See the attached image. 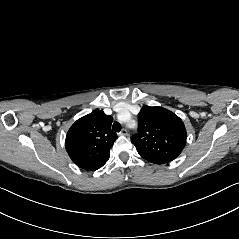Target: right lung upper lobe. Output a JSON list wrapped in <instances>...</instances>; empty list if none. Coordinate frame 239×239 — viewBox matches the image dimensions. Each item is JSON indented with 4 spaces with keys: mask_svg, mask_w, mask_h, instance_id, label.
Here are the masks:
<instances>
[{
    "mask_svg": "<svg viewBox=\"0 0 239 239\" xmlns=\"http://www.w3.org/2000/svg\"><path fill=\"white\" fill-rule=\"evenodd\" d=\"M112 120L111 116L96 109L71 126L65 146L75 164L92 171L107 162L110 149L117 139L110 128Z\"/></svg>",
    "mask_w": 239,
    "mask_h": 239,
    "instance_id": "right-lung-upper-lobe-1",
    "label": "right lung upper lobe"
}]
</instances>
